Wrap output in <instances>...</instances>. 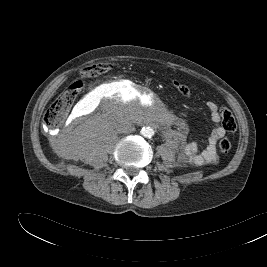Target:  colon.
<instances>
[{"mask_svg": "<svg viewBox=\"0 0 267 267\" xmlns=\"http://www.w3.org/2000/svg\"><path fill=\"white\" fill-rule=\"evenodd\" d=\"M108 66L109 64H95L84 68L81 73L85 77L97 76L107 70ZM174 87L182 96H190V89L185 84L175 81ZM81 88V81H74L64 87L57 99L45 112L44 122L48 128H55L64 121ZM220 114L222 125L230 132L235 131L237 124L232 112L225 107H221ZM230 149V140L228 138L221 139L219 142V150L222 153H228Z\"/></svg>", "mask_w": 267, "mask_h": 267, "instance_id": "colon-1", "label": "colon"}]
</instances>
